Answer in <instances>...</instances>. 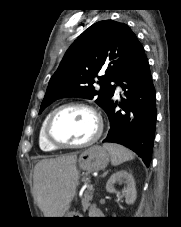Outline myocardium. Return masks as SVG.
Segmentation results:
<instances>
[{
  "instance_id": "myocardium-1",
  "label": "myocardium",
  "mask_w": 181,
  "mask_h": 227,
  "mask_svg": "<svg viewBox=\"0 0 181 227\" xmlns=\"http://www.w3.org/2000/svg\"><path fill=\"white\" fill-rule=\"evenodd\" d=\"M72 107L82 108V109L89 111L92 114V116L94 117L95 122H96V130H95V133L93 134V136L91 138H89L88 140L81 142V143L62 142V141L58 140L57 138H55V136L52 133V126H53V122H54L56 116L62 110L67 109V108H72ZM103 128H104V125H103L102 117L93 106H91L87 103H84V102L73 101V102H68V103L58 106L56 109H54L50 113V115L47 119L46 125H45V137L53 146H55L57 148H85V147H89V146L93 145L101 137Z\"/></svg>"
}]
</instances>
